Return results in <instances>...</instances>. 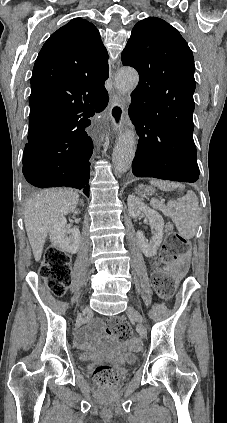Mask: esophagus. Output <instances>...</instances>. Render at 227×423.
<instances>
[{"label": "esophagus", "mask_w": 227, "mask_h": 423, "mask_svg": "<svg viewBox=\"0 0 227 423\" xmlns=\"http://www.w3.org/2000/svg\"><path fill=\"white\" fill-rule=\"evenodd\" d=\"M124 108L117 96L110 97L109 116L113 123L120 128L123 124Z\"/></svg>", "instance_id": "esophagus-1"}]
</instances>
